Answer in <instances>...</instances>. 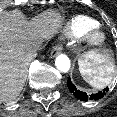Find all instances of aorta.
<instances>
[{"label":"aorta","mask_w":117,"mask_h":117,"mask_svg":"<svg viewBox=\"0 0 117 117\" xmlns=\"http://www.w3.org/2000/svg\"><path fill=\"white\" fill-rule=\"evenodd\" d=\"M55 65L60 71L67 72L71 65L70 59L65 54H60L55 59Z\"/></svg>","instance_id":"obj_1"}]
</instances>
